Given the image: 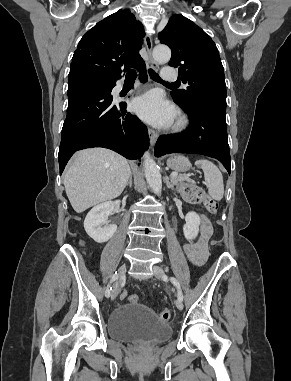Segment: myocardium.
Here are the masks:
<instances>
[{"mask_svg": "<svg viewBox=\"0 0 291 381\" xmlns=\"http://www.w3.org/2000/svg\"><path fill=\"white\" fill-rule=\"evenodd\" d=\"M187 123H188L187 118L184 115H180L178 117V120H177L174 128H175V130H181V129L186 127Z\"/></svg>", "mask_w": 291, "mask_h": 381, "instance_id": "f54148a6", "label": "myocardium"}]
</instances>
